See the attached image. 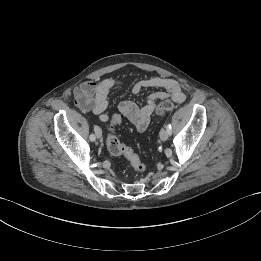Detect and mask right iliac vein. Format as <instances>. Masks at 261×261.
<instances>
[{"mask_svg": "<svg viewBox=\"0 0 261 261\" xmlns=\"http://www.w3.org/2000/svg\"><path fill=\"white\" fill-rule=\"evenodd\" d=\"M95 134H96V137H97V138H101V136H102V131H101V129H100L99 127L96 129Z\"/></svg>", "mask_w": 261, "mask_h": 261, "instance_id": "right-iliac-vein-1", "label": "right iliac vein"}]
</instances>
